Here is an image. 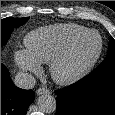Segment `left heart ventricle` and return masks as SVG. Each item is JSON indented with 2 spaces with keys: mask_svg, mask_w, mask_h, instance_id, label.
Masks as SVG:
<instances>
[{
  "mask_svg": "<svg viewBox=\"0 0 115 115\" xmlns=\"http://www.w3.org/2000/svg\"><path fill=\"white\" fill-rule=\"evenodd\" d=\"M99 40L97 35L91 34L80 42L76 49L75 58L77 61H82L91 57L97 50Z\"/></svg>",
  "mask_w": 115,
  "mask_h": 115,
  "instance_id": "b2bd125f",
  "label": "left heart ventricle"
}]
</instances>
